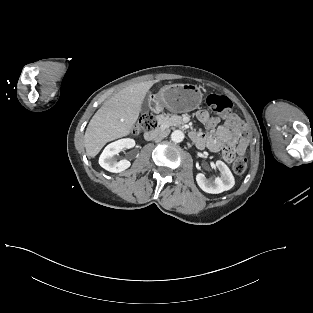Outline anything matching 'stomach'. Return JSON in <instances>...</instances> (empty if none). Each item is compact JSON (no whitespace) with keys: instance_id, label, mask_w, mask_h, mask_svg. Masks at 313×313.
<instances>
[{"instance_id":"1","label":"stomach","mask_w":313,"mask_h":313,"mask_svg":"<svg viewBox=\"0 0 313 313\" xmlns=\"http://www.w3.org/2000/svg\"><path fill=\"white\" fill-rule=\"evenodd\" d=\"M202 93L191 84H174L163 87L151 102L156 109H167L171 112H189L199 107Z\"/></svg>"}]
</instances>
